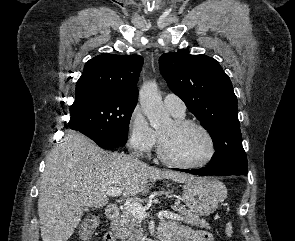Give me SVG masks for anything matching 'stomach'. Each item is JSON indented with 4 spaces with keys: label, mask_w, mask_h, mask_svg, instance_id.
Here are the masks:
<instances>
[{
    "label": "stomach",
    "mask_w": 295,
    "mask_h": 241,
    "mask_svg": "<svg viewBox=\"0 0 295 241\" xmlns=\"http://www.w3.org/2000/svg\"><path fill=\"white\" fill-rule=\"evenodd\" d=\"M227 189L218 180L202 179L187 182L183 186L182 199L189 210L197 216H208L226 198Z\"/></svg>",
    "instance_id": "0dacf381"
}]
</instances>
